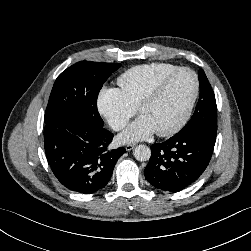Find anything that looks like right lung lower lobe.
<instances>
[{"label": "right lung lower lobe", "mask_w": 251, "mask_h": 251, "mask_svg": "<svg viewBox=\"0 0 251 251\" xmlns=\"http://www.w3.org/2000/svg\"><path fill=\"white\" fill-rule=\"evenodd\" d=\"M113 134L81 117L70 116L45 124L44 147L48 163L67 189L91 194L109 182L114 166L126 150H110Z\"/></svg>", "instance_id": "right-lung-lower-lobe-1"}]
</instances>
